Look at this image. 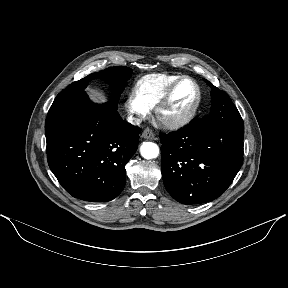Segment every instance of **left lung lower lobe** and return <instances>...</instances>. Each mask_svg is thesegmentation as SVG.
Instances as JSON below:
<instances>
[{"instance_id": "left-lung-lower-lobe-1", "label": "left lung lower lobe", "mask_w": 288, "mask_h": 288, "mask_svg": "<svg viewBox=\"0 0 288 288\" xmlns=\"http://www.w3.org/2000/svg\"><path fill=\"white\" fill-rule=\"evenodd\" d=\"M161 170L168 193L178 202L199 204L218 198L243 161L244 135L194 119L160 134Z\"/></svg>"}]
</instances>
